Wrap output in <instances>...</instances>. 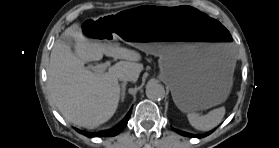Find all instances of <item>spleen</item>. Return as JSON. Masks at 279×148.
<instances>
[{
    "label": "spleen",
    "instance_id": "spleen-1",
    "mask_svg": "<svg viewBox=\"0 0 279 148\" xmlns=\"http://www.w3.org/2000/svg\"><path fill=\"white\" fill-rule=\"evenodd\" d=\"M225 115V108L220 107L211 110L208 114L200 116L197 113L187 115L189 123L197 130L208 131L215 128L222 121Z\"/></svg>",
    "mask_w": 279,
    "mask_h": 148
}]
</instances>
